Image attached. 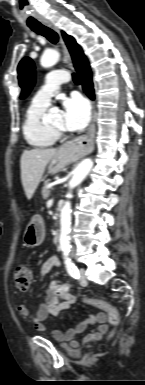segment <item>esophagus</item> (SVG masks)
<instances>
[{
  "label": "esophagus",
  "mask_w": 145,
  "mask_h": 385,
  "mask_svg": "<svg viewBox=\"0 0 145 385\" xmlns=\"http://www.w3.org/2000/svg\"><path fill=\"white\" fill-rule=\"evenodd\" d=\"M43 24L54 30L60 36L63 59L72 66V60L66 44L61 37L60 30L50 21H44ZM95 130V114L93 113L92 121L87 134L70 141L66 147L69 148L72 153H77L81 157L91 153L94 149Z\"/></svg>",
  "instance_id": "obj_1"
}]
</instances>
